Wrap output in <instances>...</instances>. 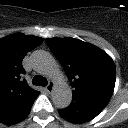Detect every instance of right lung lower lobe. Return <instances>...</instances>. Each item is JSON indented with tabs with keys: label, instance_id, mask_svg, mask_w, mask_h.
<instances>
[{
	"label": "right lung lower lobe",
	"instance_id": "1",
	"mask_svg": "<svg viewBox=\"0 0 128 128\" xmlns=\"http://www.w3.org/2000/svg\"><path fill=\"white\" fill-rule=\"evenodd\" d=\"M38 95L39 92L20 102L6 114L1 115L0 122L6 125H12L25 119L28 116L33 102Z\"/></svg>",
	"mask_w": 128,
	"mask_h": 128
}]
</instances>
